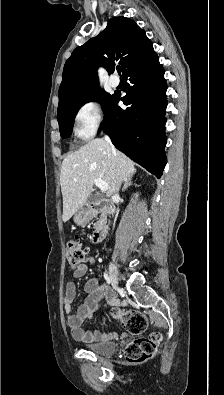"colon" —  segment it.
Returning a JSON list of instances; mask_svg holds the SVG:
<instances>
[{
    "label": "colon",
    "instance_id": "1",
    "mask_svg": "<svg viewBox=\"0 0 224 395\" xmlns=\"http://www.w3.org/2000/svg\"><path fill=\"white\" fill-rule=\"evenodd\" d=\"M65 256L71 267L82 264L85 258V250L78 240H71L65 248ZM120 321L123 328L134 335H140L146 330L147 320L143 313L137 310L117 309L113 313ZM161 341L159 333H152L147 337H141L129 343L125 348V356L131 363L138 364L154 358L158 352Z\"/></svg>",
    "mask_w": 224,
    "mask_h": 395
}]
</instances>
